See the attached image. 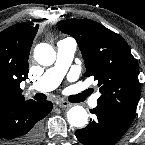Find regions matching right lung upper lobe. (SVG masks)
<instances>
[{"instance_id": "right-lung-upper-lobe-1", "label": "right lung upper lobe", "mask_w": 145, "mask_h": 145, "mask_svg": "<svg viewBox=\"0 0 145 145\" xmlns=\"http://www.w3.org/2000/svg\"><path fill=\"white\" fill-rule=\"evenodd\" d=\"M38 25L24 22L0 33V103L25 100L20 82L28 72V57Z\"/></svg>"}]
</instances>
